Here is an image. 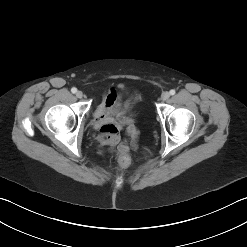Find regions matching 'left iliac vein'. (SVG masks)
Listing matches in <instances>:
<instances>
[{"label": "left iliac vein", "mask_w": 247, "mask_h": 247, "mask_svg": "<svg viewBox=\"0 0 247 247\" xmlns=\"http://www.w3.org/2000/svg\"><path fill=\"white\" fill-rule=\"evenodd\" d=\"M169 97H170V93L167 92V91H166V92H163L162 95H161V99H162L163 101L168 100Z\"/></svg>", "instance_id": "left-iliac-vein-1"}]
</instances>
